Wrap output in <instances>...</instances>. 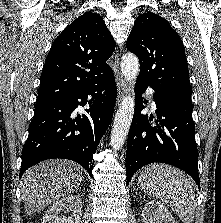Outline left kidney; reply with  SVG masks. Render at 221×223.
I'll use <instances>...</instances> for the list:
<instances>
[{
	"label": "left kidney",
	"mask_w": 221,
	"mask_h": 223,
	"mask_svg": "<svg viewBox=\"0 0 221 223\" xmlns=\"http://www.w3.org/2000/svg\"><path fill=\"white\" fill-rule=\"evenodd\" d=\"M142 221L143 223H176L168 209L156 201L145 203Z\"/></svg>",
	"instance_id": "left-kidney-1"
}]
</instances>
